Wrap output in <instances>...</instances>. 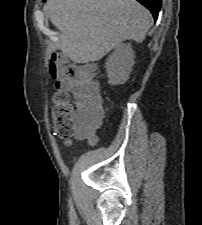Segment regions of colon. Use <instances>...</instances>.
Wrapping results in <instances>:
<instances>
[{
    "mask_svg": "<svg viewBox=\"0 0 202 225\" xmlns=\"http://www.w3.org/2000/svg\"><path fill=\"white\" fill-rule=\"evenodd\" d=\"M45 76L54 80L51 116L57 137L67 144L74 138H92L89 127L76 122L74 98L86 101L92 114L102 113L104 103L97 80L81 65H62L56 56L46 61Z\"/></svg>",
    "mask_w": 202,
    "mask_h": 225,
    "instance_id": "5ec220e1",
    "label": "colon"
}]
</instances>
